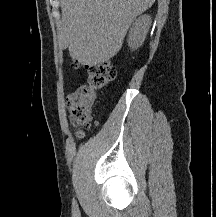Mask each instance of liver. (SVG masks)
<instances>
[{"label":"liver","mask_w":216,"mask_h":217,"mask_svg":"<svg viewBox=\"0 0 216 217\" xmlns=\"http://www.w3.org/2000/svg\"><path fill=\"white\" fill-rule=\"evenodd\" d=\"M155 0H61V49L89 66L106 62L121 49L131 23Z\"/></svg>","instance_id":"1"}]
</instances>
